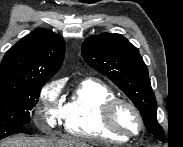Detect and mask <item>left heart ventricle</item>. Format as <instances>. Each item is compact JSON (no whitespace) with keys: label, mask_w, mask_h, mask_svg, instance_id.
Segmentation results:
<instances>
[{"label":"left heart ventricle","mask_w":183,"mask_h":147,"mask_svg":"<svg viewBox=\"0 0 183 147\" xmlns=\"http://www.w3.org/2000/svg\"><path fill=\"white\" fill-rule=\"evenodd\" d=\"M116 124L126 132L134 133L139 128L135 113L125 105H119L115 111Z\"/></svg>","instance_id":"obj_1"}]
</instances>
